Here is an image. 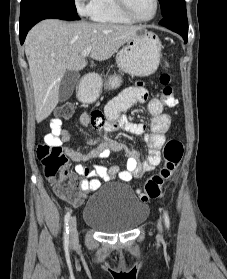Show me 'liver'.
Returning <instances> with one entry per match:
<instances>
[{"label":"liver","instance_id":"liver-1","mask_svg":"<svg viewBox=\"0 0 227 279\" xmlns=\"http://www.w3.org/2000/svg\"><path fill=\"white\" fill-rule=\"evenodd\" d=\"M141 28L57 19H46L35 25L26 37L25 54L32 77L37 123L45 120L57 106L66 70L77 72L87 65L81 55L86 47L92 46L93 59L105 61Z\"/></svg>","mask_w":227,"mask_h":279}]
</instances>
